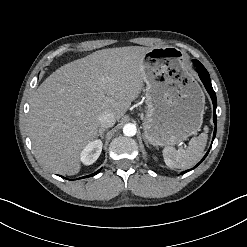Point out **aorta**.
<instances>
[{
	"mask_svg": "<svg viewBox=\"0 0 247 247\" xmlns=\"http://www.w3.org/2000/svg\"><path fill=\"white\" fill-rule=\"evenodd\" d=\"M137 132L136 126L134 124L128 123L123 127V133L125 136H134Z\"/></svg>",
	"mask_w": 247,
	"mask_h": 247,
	"instance_id": "762f6f07",
	"label": "aorta"
}]
</instances>
